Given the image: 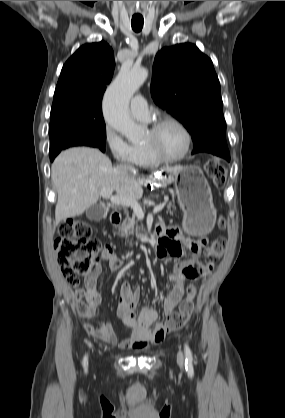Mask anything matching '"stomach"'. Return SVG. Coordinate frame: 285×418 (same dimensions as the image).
Returning a JSON list of instances; mask_svg holds the SVG:
<instances>
[{"label":"stomach","mask_w":285,"mask_h":418,"mask_svg":"<svg viewBox=\"0 0 285 418\" xmlns=\"http://www.w3.org/2000/svg\"><path fill=\"white\" fill-rule=\"evenodd\" d=\"M176 185L179 205L184 213L183 228L189 235H205L214 227L216 210L211 189L202 172L195 165L168 172Z\"/></svg>","instance_id":"0dacf381"}]
</instances>
